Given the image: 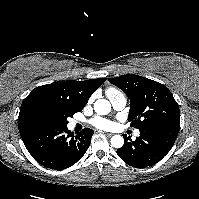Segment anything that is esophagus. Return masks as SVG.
I'll list each match as a JSON object with an SVG mask.
<instances>
[{"mask_svg": "<svg viewBox=\"0 0 199 199\" xmlns=\"http://www.w3.org/2000/svg\"><path fill=\"white\" fill-rule=\"evenodd\" d=\"M105 135H106L107 137H111V136H112L111 133H106Z\"/></svg>", "mask_w": 199, "mask_h": 199, "instance_id": "34e87169", "label": "esophagus"}]
</instances>
